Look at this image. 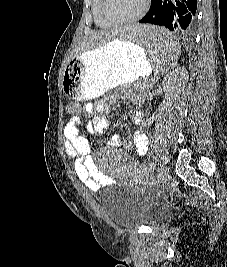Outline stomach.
Listing matches in <instances>:
<instances>
[{
	"mask_svg": "<svg viewBox=\"0 0 227 267\" xmlns=\"http://www.w3.org/2000/svg\"><path fill=\"white\" fill-rule=\"evenodd\" d=\"M151 72L152 63H148L143 47L119 37L73 57L66 64L64 82L59 83L70 101H88L113 87L133 84Z\"/></svg>",
	"mask_w": 227,
	"mask_h": 267,
	"instance_id": "stomach-1",
	"label": "stomach"
}]
</instances>
